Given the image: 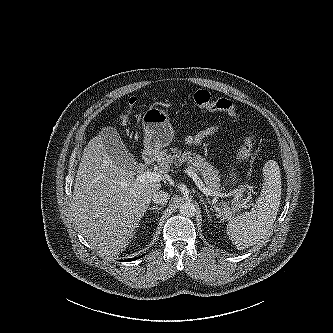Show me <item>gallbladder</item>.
<instances>
[{
    "mask_svg": "<svg viewBox=\"0 0 333 333\" xmlns=\"http://www.w3.org/2000/svg\"><path fill=\"white\" fill-rule=\"evenodd\" d=\"M99 134L103 138V145L111 159L126 170L135 172L138 168V163L124 145L116 129L105 127Z\"/></svg>",
    "mask_w": 333,
    "mask_h": 333,
    "instance_id": "1",
    "label": "gallbladder"
}]
</instances>
